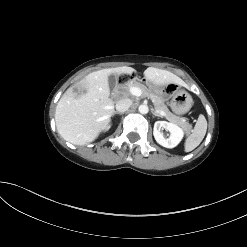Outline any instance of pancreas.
Here are the masks:
<instances>
[{
    "instance_id": "1",
    "label": "pancreas",
    "mask_w": 247,
    "mask_h": 247,
    "mask_svg": "<svg viewBox=\"0 0 247 247\" xmlns=\"http://www.w3.org/2000/svg\"><path fill=\"white\" fill-rule=\"evenodd\" d=\"M131 87H138L142 90V92L145 94V96H147L148 98H150L152 100V102L154 103V107L155 109L160 112H164L165 113V118L172 122L175 123L179 126H181L187 133H189L191 131L192 126L182 117H178L176 115H174L173 113H171L167 107V105L164 103V99L159 96L156 92L148 89L145 85L143 84H139L136 81L131 82L127 85V88H131Z\"/></svg>"
}]
</instances>
